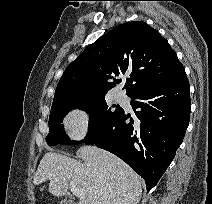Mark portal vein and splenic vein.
Instances as JSON below:
<instances>
[{"instance_id":"portal-vein-and-splenic-vein-1","label":"portal vein and splenic vein","mask_w":212,"mask_h":204,"mask_svg":"<svg viewBox=\"0 0 212 204\" xmlns=\"http://www.w3.org/2000/svg\"><path fill=\"white\" fill-rule=\"evenodd\" d=\"M70 188H71L73 195H75L79 198L84 197L83 191L79 187H77V185L72 181L70 182Z\"/></svg>"}]
</instances>
